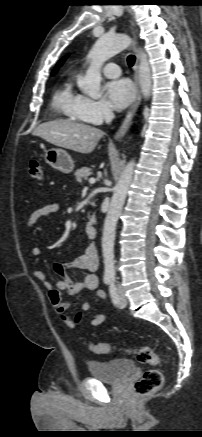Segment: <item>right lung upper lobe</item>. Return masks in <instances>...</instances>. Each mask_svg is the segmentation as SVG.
I'll return each instance as SVG.
<instances>
[{
    "label": "right lung upper lobe",
    "mask_w": 202,
    "mask_h": 437,
    "mask_svg": "<svg viewBox=\"0 0 202 437\" xmlns=\"http://www.w3.org/2000/svg\"><path fill=\"white\" fill-rule=\"evenodd\" d=\"M66 57H67V56L63 57V58L58 62L57 66L54 68V70H53V72H52V75L56 74L58 68L63 64V62L65 61Z\"/></svg>",
    "instance_id": "obj_1"
}]
</instances>
